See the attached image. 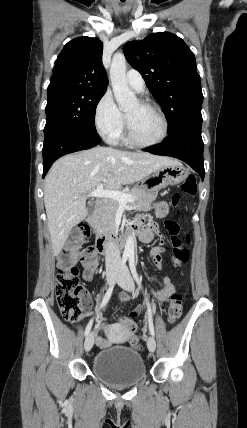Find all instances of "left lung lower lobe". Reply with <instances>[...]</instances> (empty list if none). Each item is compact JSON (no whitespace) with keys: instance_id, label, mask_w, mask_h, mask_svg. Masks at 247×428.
I'll return each instance as SVG.
<instances>
[{"instance_id":"0a47b994","label":"left lung lower lobe","mask_w":247,"mask_h":428,"mask_svg":"<svg viewBox=\"0 0 247 428\" xmlns=\"http://www.w3.org/2000/svg\"><path fill=\"white\" fill-rule=\"evenodd\" d=\"M203 148L201 126H190L170 135L162 145L143 150L178 158L191 166L203 180L205 175Z\"/></svg>"}]
</instances>
